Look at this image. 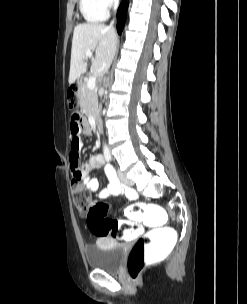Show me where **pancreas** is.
<instances>
[{"label": "pancreas", "instance_id": "pancreas-1", "mask_svg": "<svg viewBox=\"0 0 247 304\" xmlns=\"http://www.w3.org/2000/svg\"><path fill=\"white\" fill-rule=\"evenodd\" d=\"M82 84V89L78 91V97L81 109L86 114H95L98 110V98L97 91L90 90L87 86V82L84 81Z\"/></svg>", "mask_w": 247, "mask_h": 304}]
</instances>
